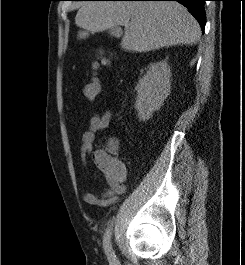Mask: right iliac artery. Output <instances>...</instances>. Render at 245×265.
I'll return each instance as SVG.
<instances>
[{
	"label": "right iliac artery",
	"instance_id": "1",
	"mask_svg": "<svg viewBox=\"0 0 245 265\" xmlns=\"http://www.w3.org/2000/svg\"><path fill=\"white\" fill-rule=\"evenodd\" d=\"M112 226L113 223H111L108 228L106 229V232L104 234L103 238V247L105 250V253L110 261H115V254L112 250L111 246V234H112Z\"/></svg>",
	"mask_w": 245,
	"mask_h": 265
}]
</instances>
